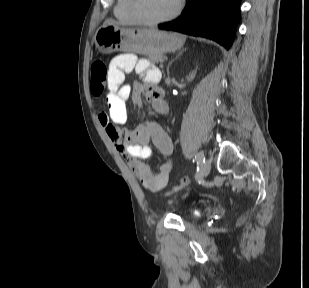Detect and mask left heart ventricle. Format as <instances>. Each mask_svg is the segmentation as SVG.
Masks as SVG:
<instances>
[{
    "label": "left heart ventricle",
    "instance_id": "obj_1",
    "mask_svg": "<svg viewBox=\"0 0 309 288\" xmlns=\"http://www.w3.org/2000/svg\"><path fill=\"white\" fill-rule=\"evenodd\" d=\"M139 10L148 19L162 18L173 11L178 0H139Z\"/></svg>",
    "mask_w": 309,
    "mask_h": 288
}]
</instances>
